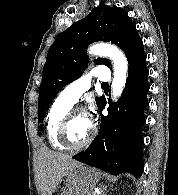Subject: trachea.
<instances>
[{
	"label": "trachea",
	"instance_id": "1",
	"mask_svg": "<svg viewBox=\"0 0 178 195\" xmlns=\"http://www.w3.org/2000/svg\"><path fill=\"white\" fill-rule=\"evenodd\" d=\"M102 87H108V84H102Z\"/></svg>",
	"mask_w": 178,
	"mask_h": 195
}]
</instances>
